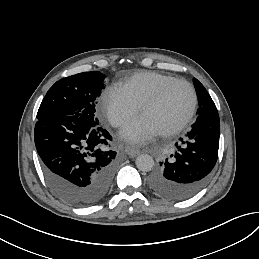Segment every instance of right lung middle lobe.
Wrapping results in <instances>:
<instances>
[{"mask_svg":"<svg viewBox=\"0 0 259 259\" xmlns=\"http://www.w3.org/2000/svg\"><path fill=\"white\" fill-rule=\"evenodd\" d=\"M104 79V74L91 71L57 81L45 95L37 119L53 115H74L99 123L95 116V101L104 88Z\"/></svg>","mask_w":259,"mask_h":259,"instance_id":"right-lung-middle-lobe-1","label":"right lung middle lobe"}]
</instances>
